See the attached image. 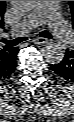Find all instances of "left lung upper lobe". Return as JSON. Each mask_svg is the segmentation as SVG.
Instances as JSON below:
<instances>
[{"instance_id":"1","label":"left lung upper lobe","mask_w":74,"mask_h":122,"mask_svg":"<svg viewBox=\"0 0 74 122\" xmlns=\"http://www.w3.org/2000/svg\"><path fill=\"white\" fill-rule=\"evenodd\" d=\"M69 2H70L71 13H72V26L74 28V1H69Z\"/></svg>"}]
</instances>
